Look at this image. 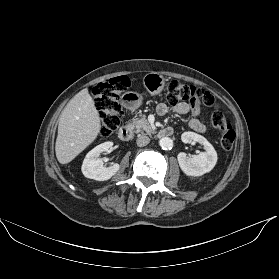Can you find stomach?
<instances>
[{"mask_svg":"<svg viewBox=\"0 0 279 279\" xmlns=\"http://www.w3.org/2000/svg\"><path fill=\"white\" fill-rule=\"evenodd\" d=\"M143 85L147 92L151 95H157L162 92L165 86L164 77L158 72H150L143 78ZM122 105L129 109L135 110L141 106L143 102V95L137 92H126L122 95Z\"/></svg>","mask_w":279,"mask_h":279,"instance_id":"obj_1","label":"stomach"}]
</instances>
